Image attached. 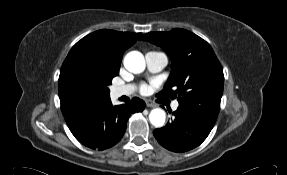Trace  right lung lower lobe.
Here are the masks:
<instances>
[{
    "instance_id": "obj_1",
    "label": "right lung lower lobe",
    "mask_w": 287,
    "mask_h": 175,
    "mask_svg": "<svg viewBox=\"0 0 287 175\" xmlns=\"http://www.w3.org/2000/svg\"><path fill=\"white\" fill-rule=\"evenodd\" d=\"M133 100L113 106L107 98L82 113L65 117V121L80 143L94 150H105L123 137L129 116L144 110L143 100Z\"/></svg>"
}]
</instances>
